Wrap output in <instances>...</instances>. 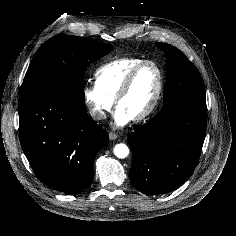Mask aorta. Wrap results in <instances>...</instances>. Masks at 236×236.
<instances>
[{
	"label": "aorta",
	"mask_w": 236,
	"mask_h": 236,
	"mask_svg": "<svg viewBox=\"0 0 236 236\" xmlns=\"http://www.w3.org/2000/svg\"><path fill=\"white\" fill-rule=\"evenodd\" d=\"M114 154H115L116 157L124 159L129 154V148L125 144H122V143L117 144L114 147Z\"/></svg>",
	"instance_id": "762f6f07"
}]
</instances>
